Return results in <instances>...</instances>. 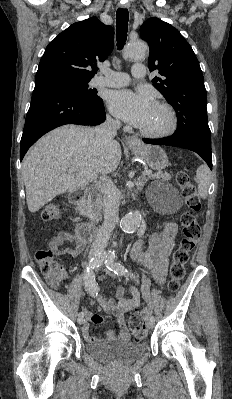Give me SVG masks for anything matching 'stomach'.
Masks as SVG:
<instances>
[{
  "label": "stomach",
  "mask_w": 232,
  "mask_h": 399,
  "mask_svg": "<svg viewBox=\"0 0 232 399\" xmlns=\"http://www.w3.org/2000/svg\"><path fill=\"white\" fill-rule=\"evenodd\" d=\"M133 156L142 160L152 170H164L168 166V158L159 146H145L141 140L136 142L135 148H130Z\"/></svg>",
  "instance_id": "obj_1"
}]
</instances>
